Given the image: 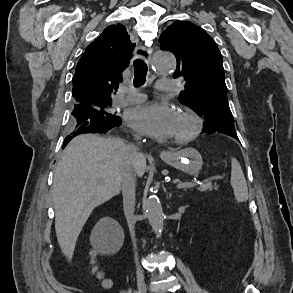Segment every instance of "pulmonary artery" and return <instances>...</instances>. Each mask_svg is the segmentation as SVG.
<instances>
[{
	"mask_svg": "<svg viewBox=\"0 0 293 293\" xmlns=\"http://www.w3.org/2000/svg\"><path fill=\"white\" fill-rule=\"evenodd\" d=\"M156 87L160 92H169L174 90L175 84L172 80L161 79L157 81ZM146 96L140 92L132 90L128 87L122 86L119 89L118 101L121 104H133L143 101Z\"/></svg>",
	"mask_w": 293,
	"mask_h": 293,
	"instance_id": "obj_1",
	"label": "pulmonary artery"
}]
</instances>
